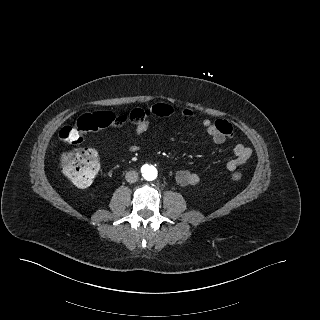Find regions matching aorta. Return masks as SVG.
<instances>
[{
	"label": "aorta",
	"instance_id": "762f6f07",
	"mask_svg": "<svg viewBox=\"0 0 320 320\" xmlns=\"http://www.w3.org/2000/svg\"><path fill=\"white\" fill-rule=\"evenodd\" d=\"M142 174L146 180L152 181L157 178V169L152 165H145L142 168Z\"/></svg>",
	"mask_w": 320,
	"mask_h": 320
}]
</instances>
